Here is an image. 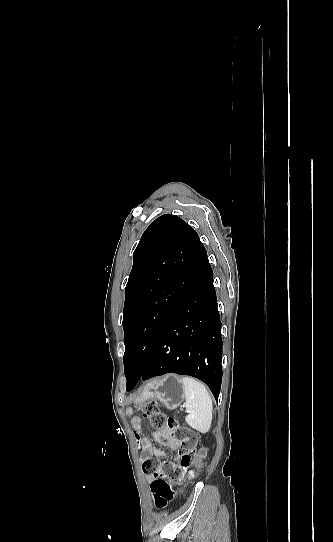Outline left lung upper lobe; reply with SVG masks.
<instances>
[{
	"label": "left lung upper lobe",
	"mask_w": 333,
	"mask_h": 542,
	"mask_svg": "<svg viewBox=\"0 0 333 542\" xmlns=\"http://www.w3.org/2000/svg\"><path fill=\"white\" fill-rule=\"evenodd\" d=\"M207 262L196 231L175 215L157 218L143 233L125 288L123 362L127 381L142 374L161 329Z\"/></svg>",
	"instance_id": "obj_1"
}]
</instances>
